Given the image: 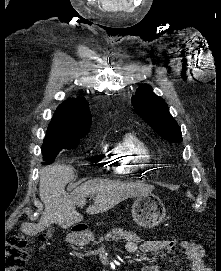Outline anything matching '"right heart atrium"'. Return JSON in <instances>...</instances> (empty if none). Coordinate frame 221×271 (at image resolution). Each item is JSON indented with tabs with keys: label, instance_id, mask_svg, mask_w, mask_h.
<instances>
[{
	"label": "right heart atrium",
	"instance_id": "d8ad5b80",
	"mask_svg": "<svg viewBox=\"0 0 221 271\" xmlns=\"http://www.w3.org/2000/svg\"><path fill=\"white\" fill-rule=\"evenodd\" d=\"M116 154H110V151H99V156H102V159H112V156Z\"/></svg>",
	"mask_w": 221,
	"mask_h": 271
}]
</instances>
